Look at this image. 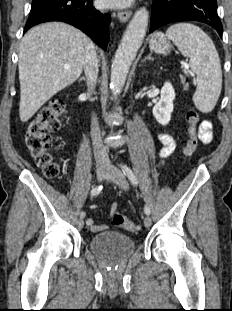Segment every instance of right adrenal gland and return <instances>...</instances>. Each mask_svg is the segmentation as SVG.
<instances>
[{
    "label": "right adrenal gland",
    "instance_id": "1",
    "mask_svg": "<svg viewBox=\"0 0 232 311\" xmlns=\"http://www.w3.org/2000/svg\"><path fill=\"white\" fill-rule=\"evenodd\" d=\"M79 81H86V78H85V77H81V78L79 79Z\"/></svg>",
    "mask_w": 232,
    "mask_h": 311
}]
</instances>
